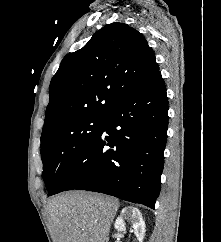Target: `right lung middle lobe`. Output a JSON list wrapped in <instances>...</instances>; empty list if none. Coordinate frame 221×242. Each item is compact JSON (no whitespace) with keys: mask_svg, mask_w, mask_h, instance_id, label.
Listing matches in <instances>:
<instances>
[{"mask_svg":"<svg viewBox=\"0 0 221 242\" xmlns=\"http://www.w3.org/2000/svg\"><path fill=\"white\" fill-rule=\"evenodd\" d=\"M103 121V116H84L41 136L43 179L49 195L72 161L97 136Z\"/></svg>","mask_w":221,"mask_h":242,"instance_id":"1","label":"right lung middle lobe"}]
</instances>
